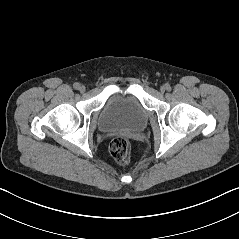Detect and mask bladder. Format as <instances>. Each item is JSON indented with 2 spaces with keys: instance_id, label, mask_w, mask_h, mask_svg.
Instances as JSON below:
<instances>
[{
  "instance_id": "bladder-1",
  "label": "bladder",
  "mask_w": 239,
  "mask_h": 239,
  "mask_svg": "<svg viewBox=\"0 0 239 239\" xmlns=\"http://www.w3.org/2000/svg\"><path fill=\"white\" fill-rule=\"evenodd\" d=\"M149 122V115L133 93H113L106 100L98 118L101 131H143Z\"/></svg>"
}]
</instances>
